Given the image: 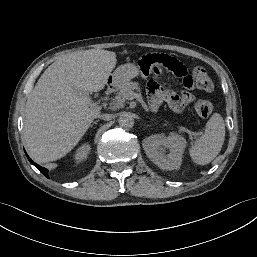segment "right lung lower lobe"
<instances>
[{
  "label": "right lung lower lobe",
  "instance_id": "obj_1",
  "mask_svg": "<svg viewBox=\"0 0 257 257\" xmlns=\"http://www.w3.org/2000/svg\"><path fill=\"white\" fill-rule=\"evenodd\" d=\"M25 154H26L27 158L29 159V161H30L34 166H36L42 174H44V175L48 178V170H47L46 168L41 167V166H39L38 164L34 163V162L29 158V156L27 155L26 152H25Z\"/></svg>",
  "mask_w": 257,
  "mask_h": 257
}]
</instances>
